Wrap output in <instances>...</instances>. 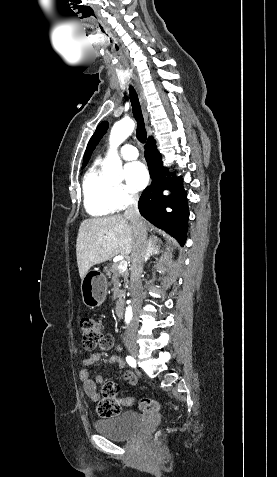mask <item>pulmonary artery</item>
<instances>
[{
    "label": "pulmonary artery",
    "instance_id": "obj_1",
    "mask_svg": "<svg viewBox=\"0 0 277 477\" xmlns=\"http://www.w3.org/2000/svg\"><path fill=\"white\" fill-rule=\"evenodd\" d=\"M120 155L127 160H133L138 157V150L132 145H124L120 149Z\"/></svg>",
    "mask_w": 277,
    "mask_h": 477
}]
</instances>
